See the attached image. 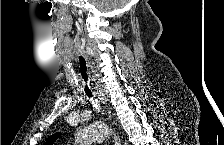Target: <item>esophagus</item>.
Wrapping results in <instances>:
<instances>
[{
    "label": "esophagus",
    "instance_id": "obj_1",
    "mask_svg": "<svg viewBox=\"0 0 224 145\" xmlns=\"http://www.w3.org/2000/svg\"><path fill=\"white\" fill-rule=\"evenodd\" d=\"M102 96H103V95L101 94V92H99V94H98L99 99H101ZM114 143H115V145H120V144H121V141H120L119 136H115V137H114Z\"/></svg>",
    "mask_w": 224,
    "mask_h": 145
}]
</instances>
